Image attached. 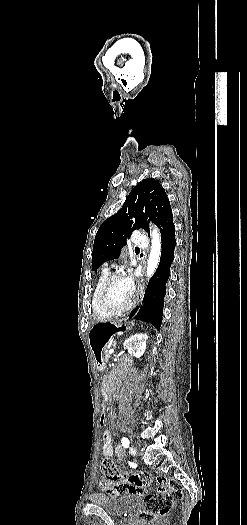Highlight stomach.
Wrapping results in <instances>:
<instances>
[{"mask_svg":"<svg viewBox=\"0 0 247 525\" xmlns=\"http://www.w3.org/2000/svg\"><path fill=\"white\" fill-rule=\"evenodd\" d=\"M133 327V323L119 321L110 323H97L93 325L88 334L90 349L100 368L104 367L102 350L115 336L120 335Z\"/></svg>","mask_w":247,"mask_h":525,"instance_id":"1","label":"stomach"}]
</instances>
